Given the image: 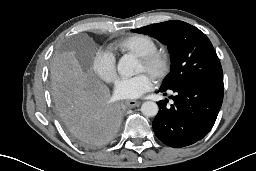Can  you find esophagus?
<instances>
[{"instance_id": "esophagus-1", "label": "esophagus", "mask_w": 256, "mask_h": 171, "mask_svg": "<svg viewBox=\"0 0 256 171\" xmlns=\"http://www.w3.org/2000/svg\"><path fill=\"white\" fill-rule=\"evenodd\" d=\"M129 108H135L137 106L140 105V102L139 101H136V100H128L126 101L125 103Z\"/></svg>"}]
</instances>
